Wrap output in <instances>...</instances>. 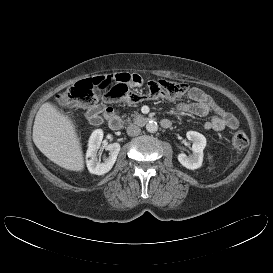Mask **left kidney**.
<instances>
[{
	"label": "left kidney",
	"instance_id": "1",
	"mask_svg": "<svg viewBox=\"0 0 273 273\" xmlns=\"http://www.w3.org/2000/svg\"><path fill=\"white\" fill-rule=\"evenodd\" d=\"M188 140L193 142L191 156L184 153L178 154V161L187 169L194 170L201 167L203 162V150L206 146V138L204 135L196 131H188L186 133Z\"/></svg>",
	"mask_w": 273,
	"mask_h": 273
}]
</instances>
